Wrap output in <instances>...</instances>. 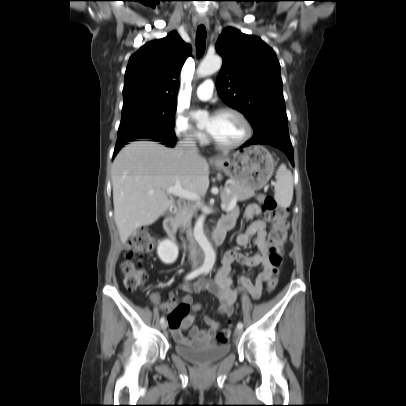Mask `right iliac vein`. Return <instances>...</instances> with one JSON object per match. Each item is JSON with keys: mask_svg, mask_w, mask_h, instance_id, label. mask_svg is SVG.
<instances>
[{"mask_svg": "<svg viewBox=\"0 0 406 406\" xmlns=\"http://www.w3.org/2000/svg\"><path fill=\"white\" fill-rule=\"evenodd\" d=\"M167 322H163L162 324H161V328H162V330H166V328H167Z\"/></svg>", "mask_w": 406, "mask_h": 406, "instance_id": "obj_1", "label": "right iliac vein"}]
</instances>
